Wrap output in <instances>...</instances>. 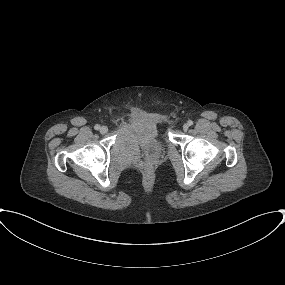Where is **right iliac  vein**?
<instances>
[{"mask_svg":"<svg viewBox=\"0 0 285 285\" xmlns=\"http://www.w3.org/2000/svg\"><path fill=\"white\" fill-rule=\"evenodd\" d=\"M108 132V127L107 126H101L100 127V133L101 134H106Z\"/></svg>","mask_w":285,"mask_h":285,"instance_id":"right-iliac-vein-1","label":"right iliac vein"}]
</instances>
